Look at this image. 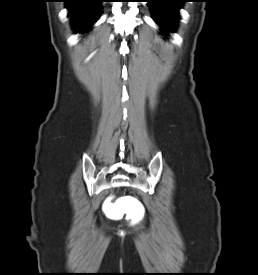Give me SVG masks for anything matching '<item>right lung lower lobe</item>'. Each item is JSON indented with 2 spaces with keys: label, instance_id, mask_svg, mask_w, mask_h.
I'll return each mask as SVG.
<instances>
[{
  "label": "right lung lower lobe",
  "instance_id": "1",
  "mask_svg": "<svg viewBox=\"0 0 258 275\" xmlns=\"http://www.w3.org/2000/svg\"><path fill=\"white\" fill-rule=\"evenodd\" d=\"M103 0H66L75 31L88 29L100 16Z\"/></svg>",
  "mask_w": 258,
  "mask_h": 275
}]
</instances>
